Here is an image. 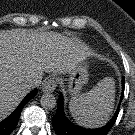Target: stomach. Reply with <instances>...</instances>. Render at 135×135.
<instances>
[{
    "label": "stomach",
    "mask_w": 135,
    "mask_h": 135,
    "mask_svg": "<svg viewBox=\"0 0 135 135\" xmlns=\"http://www.w3.org/2000/svg\"><path fill=\"white\" fill-rule=\"evenodd\" d=\"M89 80V61L85 57L82 61L78 62L68 73L65 78L67 92L70 94L71 99L77 98L84 85Z\"/></svg>",
    "instance_id": "1"
}]
</instances>
